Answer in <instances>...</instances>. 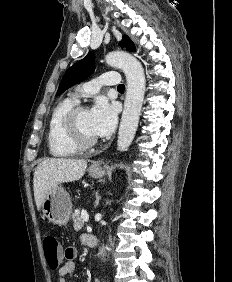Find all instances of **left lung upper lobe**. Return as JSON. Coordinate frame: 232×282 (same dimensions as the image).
Here are the masks:
<instances>
[{
    "label": "left lung upper lobe",
    "mask_w": 232,
    "mask_h": 282,
    "mask_svg": "<svg viewBox=\"0 0 232 282\" xmlns=\"http://www.w3.org/2000/svg\"><path fill=\"white\" fill-rule=\"evenodd\" d=\"M120 43L122 46L126 48V50L135 51L134 43L126 35L123 36ZM94 70H95L94 53L89 52L86 55V57L79 60L77 63H75L72 67H70L65 72L62 81L59 85L56 96L61 95L64 91H66L68 88L72 87L73 85L81 81H84L87 77H89L93 73Z\"/></svg>",
    "instance_id": "5c2ea615"
}]
</instances>
